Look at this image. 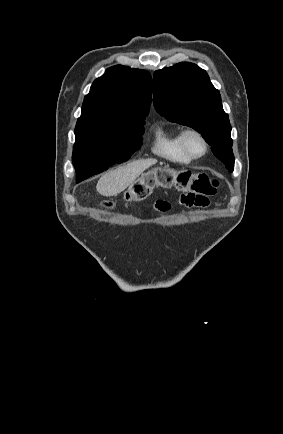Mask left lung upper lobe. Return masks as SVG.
Returning <instances> with one entry per match:
<instances>
[{
  "instance_id": "obj_1",
  "label": "left lung upper lobe",
  "mask_w": 283,
  "mask_h": 434,
  "mask_svg": "<svg viewBox=\"0 0 283 434\" xmlns=\"http://www.w3.org/2000/svg\"><path fill=\"white\" fill-rule=\"evenodd\" d=\"M153 103L156 111L167 120L201 133L213 154L228 171H233L229 117L223 110L219 91L205 70L182 62L155 71Z\"/></svg>"
}]
</instances>
